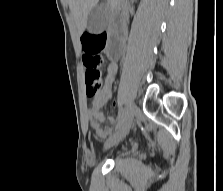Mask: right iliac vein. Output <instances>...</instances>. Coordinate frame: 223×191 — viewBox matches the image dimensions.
Returning a JSON list of instances; mask_svg holds the SVG:
<instances>
[{
  "label": "right iliac vein",
  "mask_w": 223,
  "mask_h": 191,
  "mask_svg": "<svg viewBox=\"0 0 223 191\" xmlns=\"http://www.w3.org/2000/svg\"><path fill=\"white\" fill-rule=\"evenodd\" d=\"M135 113V105L132 102L127 104V111L118 130L105 143L106 148H110L123 140L130 131Z\"/></svg>",
  "instance_id": "63e3f726"
}]
</instances>
